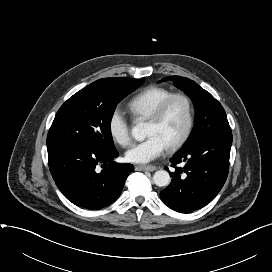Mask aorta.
<instances>
[{
  "instance_id": "aorta-1",
  "label": "aorta",
  "mask_w": 272,
  "mask_h": 272,
  "mask_svg": "<svg viewBox=\"0 0 272 272\" xmlns=\"http://www.w3.org/2000/svg\"><path fill=\"white\" fill-rule=\"evenodd\" d=\"M131 133L137 141H143L147 136V124L137 123L133 126ZM153 181L159 187L167 186L170 183V175L165 170H158L153 175Z\"/></svg>"
}]
</instances>
